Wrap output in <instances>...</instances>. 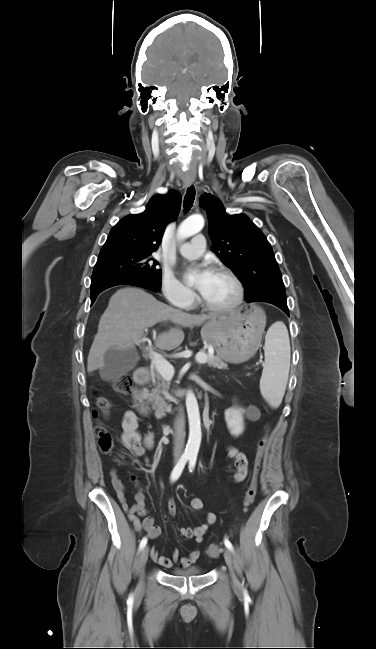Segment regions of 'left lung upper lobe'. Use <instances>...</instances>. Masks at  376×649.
Here are the masks:
<instances>
[{"label": "left lung upper lobe", "mask_w": 376, "mask_h": 649, "mask_svg": "<svg viewBox=\"0 0 376 649\" xmlns=\"http://www.w3.org/2000/svg\"><path fill=\"white\" fill-rule=\"evenodd\" d=\"M199 205L208 216L213 251L245 283V300L286 303L275 255L258 227L244 214L227 215L221 201L211 194L201 195Z\"/></svg>", "instance_id": "left-lung-upper-lobe-1"}]
</instances>
